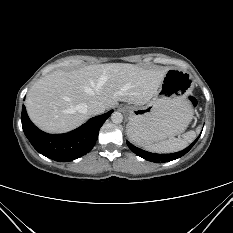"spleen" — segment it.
Instances as JSON below:
<instances>
[{"label": "spleen", "instance_id": "1", "mask_svg": "<svg viewBox=\"0 0 233 233\" xmlns=\"http://www.w3.org/2000/svg\"><path fill=\"white\" fill-rule=\"evenodd\" d=\"M200 131L197 128L196 131H188L182 135V138H170L154 144H143L139 141L138 137L133 134L127 133L128 137L136 144L142 146L144 149L155 153H173L186 148L191 142H193Z\"/></svg>", "mask_w": 233, "mask_h": 233}]
</instances>
